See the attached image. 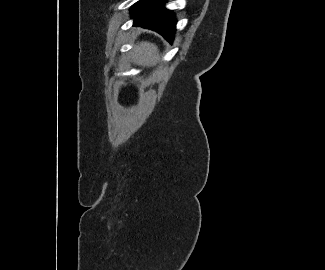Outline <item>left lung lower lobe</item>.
<instances>
[{
	"label": "left lung lower lobe",
	"instance_id": "left-lung-lower-lobe-1",
	"mask_svg": "<svg viewBox=\"0 0 325 270\" xmlns=\"http://www.w3.org/2000/svg\"><path fill=\"white\" fill-rule=\"evenodd\" d=\"M166 0H139L131 8L134 24L161 34L172 42L176 27L174 14L163 7Z\"/></svg>",
	"mask_w": 325,
	"mask_h": 270
}]
</instances>
